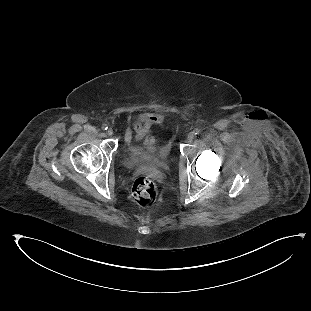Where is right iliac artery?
I'll list each match as a JSON object with an SVG mask.
<instances>
[{
  "label": "right iliac artery",
  "instance_id": "right-iliac-artery-1",
  "mask_svg": "<svg viewBox=\"0 0 311 311\" xmlns=\"http://www.w3.org/2000/svg\"><path fill=\"white\" fill-rule=\"evenodd\" d=\"M107 128H108V126H107L106 124H103V125H102V129H103V130H107Z\"/></svg>",
  "mask_w": 311,
  "mask_h": 311
}]
</instances>
